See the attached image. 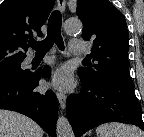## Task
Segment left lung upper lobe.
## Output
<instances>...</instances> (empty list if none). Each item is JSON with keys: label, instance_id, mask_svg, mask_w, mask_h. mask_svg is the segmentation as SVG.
Listing matches in <instances>:
<instances>
[{"label": "left lung upper lobe", "instance_id": "left-lung-upper-lobe-1", "mask_svg": "<svg viewBox=\"0 0 144 137\" xmlns=\"http://www.w3.org/2000/svg\"><path fill=\"white\" fill-rule=\"evenodd\" d=\"M76 13L83 23L82 38L93 41L88 56L95 62L79 68L80 79L90 84L103 79L133 84L124 15L108 0H77Z\"/></svg>", "mask_w": 144, "mask_h": 137}]
</instances>
